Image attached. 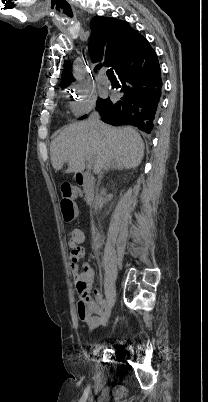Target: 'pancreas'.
Returning a JSON list of instances; mask_svg holds the SVG:
<instances>
[{
  "instance_id": "obj_1",
  "label": "pancreas",
  "mask_w": 208,
  "mask_h": 402,
  "mask_svg": "<svg viewBox=\"0 0 208 402\" xmlns=\"http://www.w3.org/2000/svg\"><path fill=\"white\" fill-rule=\"evenodd\" d=\"M84 194H86V196H88L89 192L88 190H86V188H84Z\"/></svg>"
}]
</instances>
